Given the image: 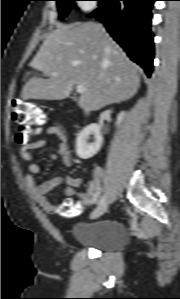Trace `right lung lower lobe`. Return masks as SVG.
<instances>
[{
  "mask_svg": "<svg viewBox=\"0 0 180 299\" xmlns=\"http://www.w3.org/2000/svg\"><path fill=\"white\" fill-rule=\"evenodd\" d=\"M156 0H102L88 15L104 23L113 39L150 77L153 67L151 9Z\"/></svg>",
  "mask_w": 180,
  "mask_h": 299,
  "instance_id": "1",
  "label": "right lung lower lobe"
}]
</instances>
